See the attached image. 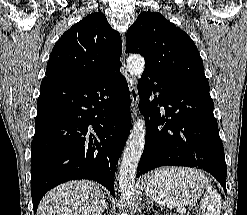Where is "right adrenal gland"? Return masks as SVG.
<instances>
[{"label":"right adrenal gland","instance_id":"1","mask_svg":"<svg viewBox=\"0 0 247 215\" xmlns=\"http://www.w3.org/2000/svg\"><path fill=\"white\" fill-rule=\"evenodd\" d=\"M105 210H108L107 204H105V206H104V211H105Z\"/></svg>","mask_w":247,"mask_h":215}]
</instances>
